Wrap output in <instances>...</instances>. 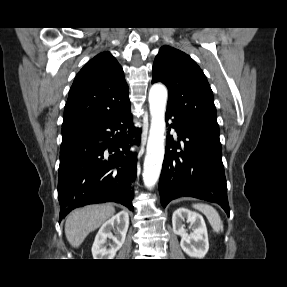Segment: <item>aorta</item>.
Wrapping results in <instances>:
<instances>
[{"label": "aorta", "mask_w": 287, "mask_h": 287, "mask_svg": "<svg viewBox=\"0 0 287 287\" xmlns=\"http://www.w3.org/2000/svg\"><path fill=\"white\" fill-rule=\"evenodd\" d=\"M167 89L162 84H154L149 90L151 125L143 166V181L152 188L159 179L164 158L165 110Z\"/></svg>", "instance_id": "762f6f07"}]
</instances>
